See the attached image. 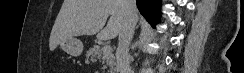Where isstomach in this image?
<instances>
[{"label": "stomach", "instance_id": "0dacf381", "mask_svg": "<svg viewBox=\"0 0 244 73\" xmlns=\"http://www.w3.org/2000/svg\"><path fill=\"white\" fill-rule=\"evenodd\" d=\"M59 47L72 56H79L83 51V43L74 37L61 41Z\"/></svg>", "mask_w": 244, "mask_h": 73}]
</instances>
